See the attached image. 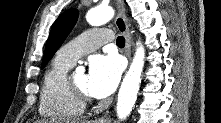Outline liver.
<instances>
[{
    "label": "liver",
    "instance_id": "obj_1",
    "mask_svg": "<svg viewBox=\"0 0 221 123\" xmlns=\"http://www.w3.org/2000/svg\"><path fill=\"white\" fill-rule=\"evenodd\" d=\"M67 121H69V120H67ZM35 123H48V121H46V120H38L37 122H35ZM70 123H86L85 121H82V120H70Z\"/></svg>",
    "mask_w": 221,
    "mask_h": 123
}]
</instances>
